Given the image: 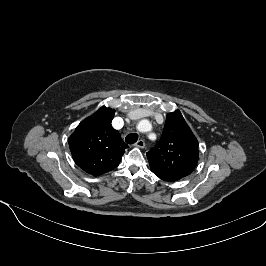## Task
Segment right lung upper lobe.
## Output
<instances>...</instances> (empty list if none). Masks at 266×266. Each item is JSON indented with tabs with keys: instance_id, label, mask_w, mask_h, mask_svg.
<instances>
[{
	"instance_id": "1",
	"label": "right lung upper lobe",
	"mask_w": 266,
	"mask_h": 266,
	"mask_svg": "<svg viewBox=\"0 0 266 266\" xmlns=\"http://www.w3.org/2000/svg\"><path fill=\"white\" fill-rule=\"evenodd\" d=\"M115 110L101 107L82 121L69 138L75 163L93 176L113 170L128 148L112 125Z\"/></svg>"
}]
</instances>
